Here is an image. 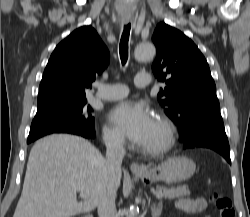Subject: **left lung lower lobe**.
I'll list each match as a JSON object with an SVG mask.
<instances>
[{
	"label": "left lung lower lobe",
	"instance_id": "0a47b994",
	"mask_svg": "<svg viewBox=\"0 0 250 217\" xmlns=\"http://www.w3.org/2000/svg\"><path fill=\"white\" fill-rule=\"evenodd\" d=\"M180 141L184 149H212L231 164L229 143L220 111L192 119L190 124L180 132Z\"/></svg>",
	"mask_w": 250,
	"mask_h": 217
}]
</instances>
